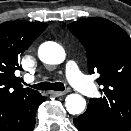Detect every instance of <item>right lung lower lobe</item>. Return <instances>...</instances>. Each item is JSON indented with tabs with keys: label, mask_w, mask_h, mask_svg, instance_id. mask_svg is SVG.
<instances>
[{
	"label": "right lung lower lobe",
	"mask_w": 131,
	"mask_h": 131,
	"mask_svg": "<svg viewBox=\"0 0 131 131\" xmlns=\"http://www.w3.org/2000/svg\"><path fill=\"white\" fill-rule=\"evenodd\" d=\"M43 101L41 94L17 101L0 100V131H32L36 111Z\"/></svg>",
	"instance_id": "1"
}]
</instances>
